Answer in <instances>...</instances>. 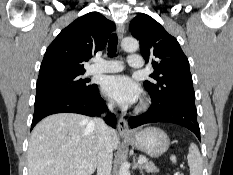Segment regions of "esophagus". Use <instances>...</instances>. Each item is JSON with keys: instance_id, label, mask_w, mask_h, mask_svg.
Here are the masks:
<instances>
[{"instance_id": "1", "label": "esophagus", "mask_w": 233, "mask_h": 175, "mask_svg": "<svg viewBox=\"0 0 233 175\" xmlns=\"http://www.w3.org/2000/svg\"><path fill=\"white\" fill-rule=\"evenodd\" d=\"M124 30H125L124 25L123 24H118L117 33H118L119 39L123 38ZM117 127H118V131H119V133L121 135L131 134V131H130L129 126H128V122H127V120L125 118H123V117L119 118Z\"/></svg>"}]
</instances>
